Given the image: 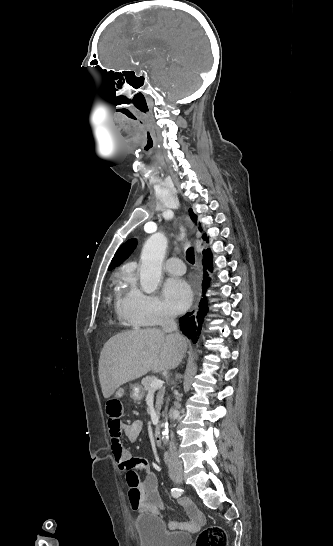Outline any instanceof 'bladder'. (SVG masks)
I'll return each mask as SVG.
<instances>
[{
    "label": "bladder",
    "instance_id": "obj_1",
    "mask_svg": "<svg viewBox=\"0 0 333 546\" xmlns=\"http://www.w3.org/2000/svg\"><path fill=\"white\" fill-rule=\"evenodd\" d=\"M134 527L140 546H190L191 535L185 532H170L163 521L150 514L135 520Z\"/></svg>",
    "mask_w": 333,
    "mask_h": 546
}]
</instances>
